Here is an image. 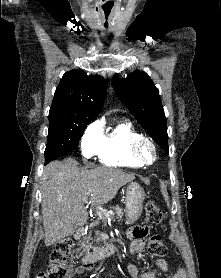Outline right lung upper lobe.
I'll use <instances>...</instances> for the list:
<instances>
[{
    "label": "right lung upper lobe",
    "mask_w": 221,
    "mask_h": 278,
    "mask_svg": "<svg viewBox=\"0 0 221 278\" xmlns=\"http://www.w3.org/2000/svg\"><path fill=\"white\" fill-rule=\"evenodd\" d=\"M107 83L101 76H88L83 70L64 74L55 91L49 116L86 118L90 122L102 110Z\"/></svg>",
    "instance_id": "obj_1"
}]
</instances>
